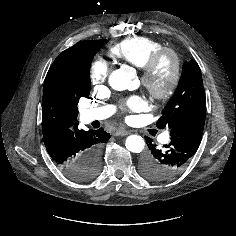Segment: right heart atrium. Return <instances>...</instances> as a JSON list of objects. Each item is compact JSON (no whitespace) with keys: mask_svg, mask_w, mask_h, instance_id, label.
<instances>
[{"mask_svg":"<svg viewBox=\"0 0 236 236\" xmlns=\"http://www.w3.org/2000/svg\"><path fill=\"white\" fill-rule=\"evenodd\" d=\"M110 67L102 58H95L90 65L89 77L95 87L101 86L108 78Z\"/></svg>","mask_w":236,"mask_h":236,"instance_id":"right-heart-atrium-1","label":"right heart atrium"}]
</instances>
